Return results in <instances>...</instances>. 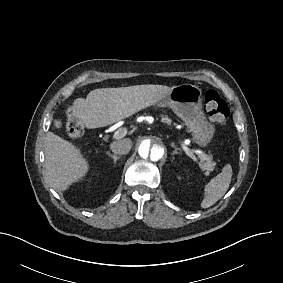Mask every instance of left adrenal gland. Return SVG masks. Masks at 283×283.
I'll use <instances>...</instances> for the list:
<instances>
[{
    "label": "left adrenal gland",
    "mask_w": 283,
    "mask_h": 283,
    "mask_svg": "<svg viewBox=\"0 0 283 283\" xmlns=\"http://www.w3.org/2000/svg\"><path fill=\"white\" fill-rule=\"evenodd\" d=\"M173 147H174V149H175V151L173 152V155H178L179 154V152H178V148H176L174 145H173Z\"/></svg>",
    "instance_id": "left-adrenal-gland-1"
}]
</instances>
